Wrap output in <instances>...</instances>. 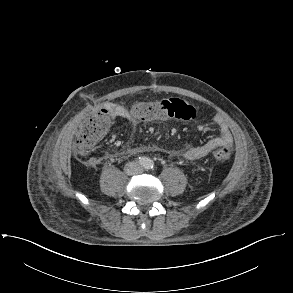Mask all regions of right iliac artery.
Instances as JSON below:
<instances>
[{
  "label": "right iliac artery",
  "mask_w": 293,
  "mask_h": 293,
  "mask_svg": "<svg viewBox=\"0 0 293 293\" xmlns=\"http://www.w3.org/2000/svg\"><path fill=\"white\" fill-rule=\"evenodd\" d=\"M138 162L141 166H145L147 164L148 160L144 157H140Z\"/></svg>",
  "instance_id": "1"
}]
</instances>
